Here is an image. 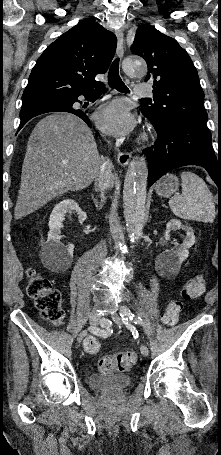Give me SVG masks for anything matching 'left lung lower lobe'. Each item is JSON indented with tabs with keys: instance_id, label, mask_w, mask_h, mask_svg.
<instances>
[{
	"instance_id": "left-lung-lower-lobe-1",
	"label": "left lung lower lobe",
	"mask_w": 221,
	"mask_h": 455,
	"mask_svg": "<svg viewBox=\"0 0 221 455\" xmlns=\"http://www.w3.org/2000/svg\"><path fill=\"white\" fill-rule=\"evenodd\" d=\"M148 119L158 134L155 145L145 151L149 186L174 168L198 165L208 171L218 190H221V156L218 154L217 157L214 153L211 133L206 124L188 120L162 124Z\"/></svg>"
}]
</instances>
